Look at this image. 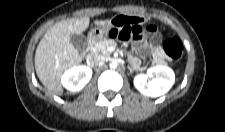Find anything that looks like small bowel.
<instances>
[{
  "instance_id": "obj_1",
  "label": "small bowel",
  "mask_w": 225,
  "mask_h": 132,
  "mask_svg": "<svg viewBox=\"0 0 225 132\" xmlns=\"http://www.w3.org/2000/svg\"><path fill=\"white\" fill-rule=\"evenodd\" d=\"M145 23V19L138 17V16H122L119 18L118 26H133V25H143ZM150 27L149 33L152 34V41L151 43H147L142 40H137L133 45V51L134 52H140V53H147L150 52L152 55V63L154 65H162L166 59L167 56L159 45V35L156 33V30L153 26ZM129 60L131 65L136 70H144L145 66L143 65L141 59L138 56L130 55Z\"/></svg>"
}]
</instances>
